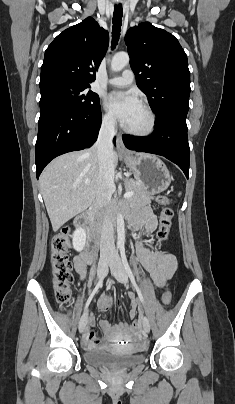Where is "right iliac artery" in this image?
<instances>
[{
  "label": "right iliac artery",
  "mask_w": 235,
  "mask_h": 404,
  "mask_svg": "<svg viewBox=\"0 0 235 404\" xmlns=\"http://www.w3.org/2000/svg\"><path fill=\"white\" fill-rule=\"evenodd\" d=\"M102 283H103V278L97 283V285H96V287L94 288L93 292H92L91 295L89 296V298H88V300H87V302H86L85 308H84V312H83L82 318H83V317H86L88 306H89V304H90L92 298L94 297V295L98 292L99 288L102 286Z\"/></svg>",
  "instance_id": "1"
}]
</instances>
